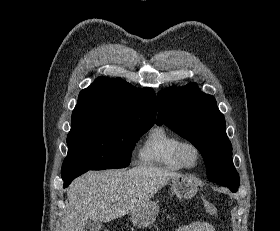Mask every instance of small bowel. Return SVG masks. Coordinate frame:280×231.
Here are the masks:
<instances>
[{
	"instance_id": "1",
	"label": "small bowel",
	"mask_w": 280,
	"mask_h": 231,
	"mask_svg": "<svg viewBox=\"0 0 280 231\" xmlns=\"http://www.w3.org/2000/svg\"><path fill=\"white\" fill-rule=\"evenodd\" d=\"M175 231H216V229L212 224L206 221H194L177 227Z\"/></svg>"
}]
</instances>
